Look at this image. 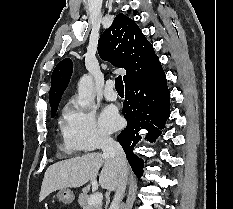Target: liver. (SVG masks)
<instances>
[{
	"label": "liver",
	"mask_w": 233,
	"mask_h": 209,
	"mask_svg": "<svg viewBox=\"0 0 233 209\" xmlns=\"http://www.w3.org/2000/svg\"><path fill=\"white\" fill-rule=\"evenodd\" d=\"M101 167L100 186L108 191L116 190L119 173L115 161L94 152L50 165L44 174L39 201L56 190L77 188L96 180Z\"/></svg>",
	"instance_id": "liver-1"
}]
</instances>
